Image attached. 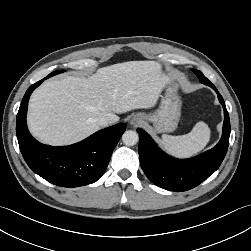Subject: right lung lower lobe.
I'll return each instance as SVG.
<instances>
[{
    "instance_id": "98d812e1",
    "label": "right lung lower lobe",
    "mask_w": 251,
    "mask_h": 251,
    "mask_svg": "<svg viewBox=\"0 0 251 251\" xmlns=\"http://www.w3.org/2000/svg\"><path fill=\"white\" fill-rule=\"evenodd\" d=\"M45 79L31 85L22 99L16 118L20 151L31 170L52 184L78 187L96 182L106 170L126 125L108 127L70 146L39 143L28 131L26 114L31 93Z\"/></svg>"
}]
</instances>
